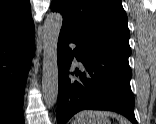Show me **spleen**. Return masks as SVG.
<instances>
[{
    "label": "spleen",
    "mask_w": 156,
    "mask_h": 124,
    "mask_svg": "<svg viewBox=\"0 0 156 124\" xmlns=\"http://www.w3.org/2000/svg\"><path fill=\"white\" fill-rule=\"evenodd\" d=\"M107 116L116 117L119 120L120 124L128 123L125 119H123L120 116H117L116 114H114L110 111L84 110V111L79 112L76 115V120H75L74 124H80L83 121H87V120H91V119L99 118V117H107Z\"/></svg>",
    "instance_id": "spleen-1"
}]
</instances>
